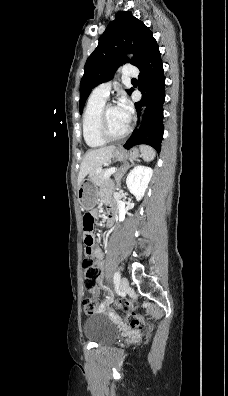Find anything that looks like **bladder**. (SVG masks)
I'll return each mask as SVG.
<instances>
[{
  "label": "bladder",
  "mask_w": 228,
  "mask_h": 396,
  "mask_svg": "<svg viewBox=\"0 0 228 396\" xmlns=\"http://www.w3.org/2000/svg\"><path fill=\"white\" fill-rule=\"evenodd\" d=\"M84 336L87 340L99 345L115 341L119 329L103 314H94L88 317L83 324Z\"/></svg>",
  "instance_id": "31cf9c89"
}]
</instances>
